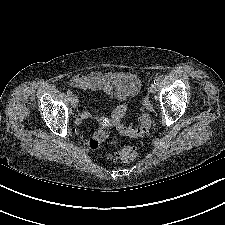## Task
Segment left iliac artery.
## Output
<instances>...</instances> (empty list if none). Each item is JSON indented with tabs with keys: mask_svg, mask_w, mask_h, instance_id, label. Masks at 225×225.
I'll return each mask as SVG.
<instances>
[{
	"mask_svg": "<svg viewBox=\"0 0 225 225\" xmlns=\"http://www.w3.org/2000/svg\"><path fill=\"white\" fill-rule=\"evenodd\" d=\"M160 81H161V78L160 77H156L154 79V84L158 85L160 83Z\"/></svg>",
	"mask_w": 225,
	"mask_h": 225,
	"instance_id": "1",
	"label": "left iliac artery"
}]
</instances>
